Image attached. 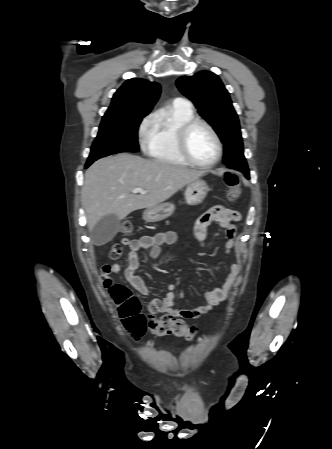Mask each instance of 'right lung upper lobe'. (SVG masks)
I'll use <instances>...</instances> for the list:
<instances>
[{
    "instance_id": "right-lung-upper-lobe-1",
    "label": "right lung upper lobe",
    "mask_w": 332,
    "mask_h": 449,
    "mask_svg": "<svg viewBox=\"0 0 332 449\" xmlns=\"http://www.w3.org/2000/svg\"><path fill=\"white\" fill-rule=\"evenodd\" d=\"M160 85L145 79L127 80L113 95L103 117L147 115L160 95Z\"/></svg>"
}]
</instances>
